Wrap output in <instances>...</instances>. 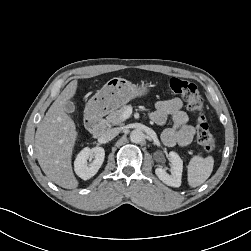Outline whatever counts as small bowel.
Segmentation results:
<instances>
[{
  "label": "small bowel",
  "instance_id": "c3829d8e",
  "mask_svg": "<svg viewBox=\"0 0 251 251\" xmlns=\"http://www.w3.org/2000/svg\"><path fill=\"white\" fill-rule=\"evenodd\" d=\"M151 119L158 125H164L168 120L172 127L162 133V141L166 146H187L191 143L195 129L188 123V116L183 111V103L179 98L158 101Z\"/></svg>",
  "mask_w": 251,
  "mask_h": 251
}]
</instances>
